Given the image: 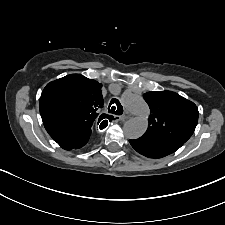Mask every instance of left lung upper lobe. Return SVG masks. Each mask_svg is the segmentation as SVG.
<instances>
[{
	"label": "left lung upper lobe",
	"instance_id": "5c2ea615",
	"mask_svg": "<svg viewBox=\"0 0 225 225\" xmlns=\"http://www.w3.org/2000/svg\"><path fill=\"white\" fill-rule=\"evenodd\" d=\"M150 107L149 126L143 137L185 143L198 122L196 105L171 91L143 94Z\"/></svg>",
	"mask_w": 225,
	"mask_h": 225
}]
</instances>
